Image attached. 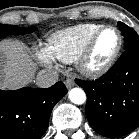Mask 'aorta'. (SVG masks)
Segmentation results:
<instances>
[{"mask_svg": "<svg viewBox=\"0 0 139 139\" xmlns=\"http://www.w3.org/2000/svg\"><path fill=\"white\" fill-rule=\"evenodd\" d=\"M68 97L74 104L81 105L86 101V94L81 88H73L69 91Z\"/></svg>", "mask_w": 139, "mask_h": 139, "instance_id": "aorta-1", "label": "aorta"}]
</instances>
